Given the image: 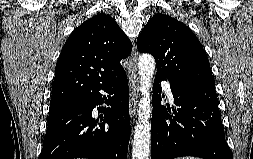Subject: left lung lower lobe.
<instances>
[{
  "label": "left lung lower lobe",
  "mask_w": 253,
  "mask_h": 159,
  "mask_svg": "<svg viewBox=\"0 0 253 159\" xmlns=\"http://www.w3.org/2000/svg\"><path fill=\"white\" fill-rule=\"evenodd\" d=\"M162 79L156 76L153 85L151 159L181 156L233 159L225 140L215 89L170 82L174 102L179 107L173 109L172 118L171 110L160 104Z\"/></svg>",
  "instance_id": "obj_1"
}]
</instances>
